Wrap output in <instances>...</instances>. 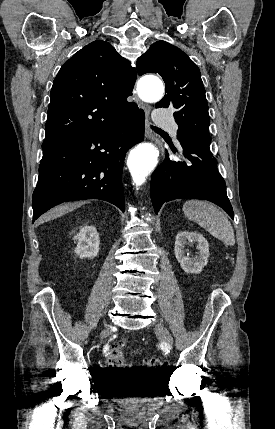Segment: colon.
<instances>
[{"label":"colon","instance_id":"obj_1","mask_svg":"<svg viewBox=\"0 0 275 429\" xmlns=\"http://www.w3.org/2000/svg\"><path fill=\"white\" fill-rule=\"evenodd\" d=\"M125 344L123 342L116 343L112 346L108 354V365L123 373L126 371L125 364ZM145 366L149 369L159 370L163 367V362L160 358L149 357L145 360Z\"/></svg>","mask_w":275,"mask_h":429}]
</instances>
